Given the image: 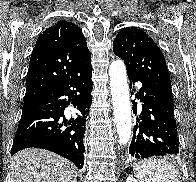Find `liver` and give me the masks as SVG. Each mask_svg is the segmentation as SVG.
I'll list each match as a JSON object with an SVG mask.
<instances>
[{
	"instance_id": "1",
	"label": "liver",
	"mask_w": 196,
	"mask_h": 182,
	"mask_svg": "<svg viewBox=\"0 0 196 182\" xmlns=\"http://www.w3.org/2000/svg\"><path fill=\"white\" fill-rule=\"evenodd\" d=\"M77 169L50 151L29 148L11 160V182H76Z\"/></svg>"
}]
</instances>
